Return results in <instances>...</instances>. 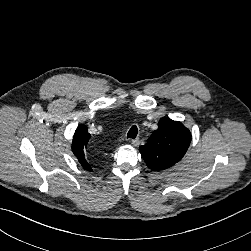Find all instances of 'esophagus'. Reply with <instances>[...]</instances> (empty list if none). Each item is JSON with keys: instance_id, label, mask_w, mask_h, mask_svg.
<instances>
[{"instance_id": "1", "label": "esophagus", "mask_w": 251, "mask_h": 251, "mask_svg": "<svg viewBox=\"0 0 251 251\" xmlns=\"http://www.w3.org/2000/svg\"><path fill=\"white\" fill-rule=\"evenodd\" d=\"M132 144H133V146H138L140 144L139 138L133 139Z\"/></svg>"}]
</instances>
